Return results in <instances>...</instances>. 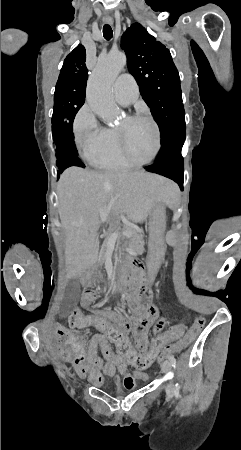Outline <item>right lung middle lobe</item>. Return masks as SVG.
Returning <instances> with one entry per match:
<instances>
[{"instance_id": "obj_1", "label": "right lung middle lobe", "mask_w": 241, "mask_h": 450, "mask_svg": "<svg viewBox=\"0 0 241 450\" xmlns=\"http://www.w3.org/2000/svg\"><path fill=\"white\" fill-rule=\"evenodd\" d=\"M85 92V84L62 82L57 83L55 87L52 133L57 147L58 176L71 166L66 158L69 148L68 137L75 115L85 102Z\"/></svg>"}]
</instances>
